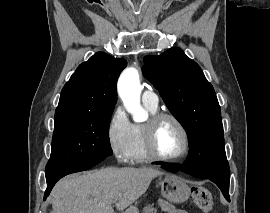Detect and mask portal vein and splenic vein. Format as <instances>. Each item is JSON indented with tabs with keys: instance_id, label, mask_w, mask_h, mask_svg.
I'll return each instance as SVG.
<instances>
[{
	"instance_id": "1",
	"label": "portal vein and splenic vein",
	"mask_w": 270,
	"mask_h": 213,
	"mask_svg": "<svg viewBox=\"0 0 270 213\" xmlns=\"http://www.w3.org/2000/svg\"><path fill=\"white\" fill-rule=\"evenodd\" d=\"M116 201H117L116 199H115V200H113V203H116Z\"/></svg>"
}]
</instances>
